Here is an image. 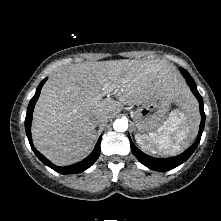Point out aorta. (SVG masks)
<instances>
[{"label": "aorta", "instance_id": "1", "mask_svg": "<svg viewBox=\"0 0 221 221\" xmlns=\"http://www.w3.org/2000/svg\"><path fill=\"white\" fill-rule=\"evenodd\" d=\"M113 128L117 132H124L128 129V121L126 119H117L113 123Z\"/></svg>", "mask_w": 221, "mask_h": 221}]
</instances>
